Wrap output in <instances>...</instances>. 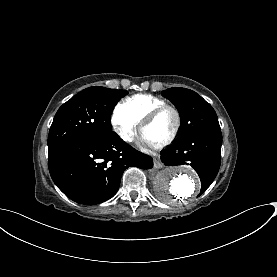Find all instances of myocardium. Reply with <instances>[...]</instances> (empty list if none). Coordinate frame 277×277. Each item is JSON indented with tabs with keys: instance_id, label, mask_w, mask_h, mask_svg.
<instances>
[{
	"instance_id": "f54148a6",
	"label": "myocardium",
	"mask_w": 277,
	"mask_h": 277,
	"mask_svg": "<svg viewBox=\"0 0 277 277\" xmlns=\"http://www.w3.org/2000/svg\"><path fill=\"white\" fill-rule=\"evenodd\" d=\"M166 110H172L174 112L176 117L175 126L171 134L165 140L156 144V147H164L170 144L176 138V136L180 131L181 123H182V117H181L180 111L171 104H163L161 106L155 107L152 110H150L146 114V116L144 117L140 125V132L143 133L144 129L150 124H152Z\"/></svg>"
}]
</instances>
